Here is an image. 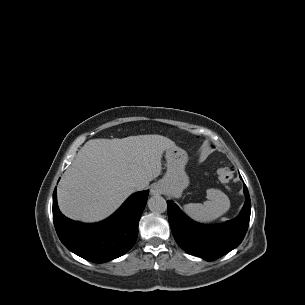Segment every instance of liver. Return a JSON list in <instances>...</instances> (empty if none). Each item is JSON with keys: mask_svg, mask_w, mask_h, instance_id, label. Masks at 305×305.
Wrapping results in <instances>:
<instances>
[{"mask_svg": "<svg viewBox=\"0 0 305 305\" xmlns=\"http://www.w3.org/2000/svg\"><path fill=\"white\" fill-rule=\"evenodd\" d=\"M174 147L161 135L89 140L59 182L61 212L82 222L107 218L136 191L132 184L145 188L161 174L162 154Z\"/></svg>", "mask_w": 305, "mask_h": 305, "instance_id": "1", "label": "liver"}]
</instances>
